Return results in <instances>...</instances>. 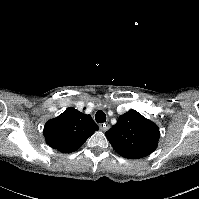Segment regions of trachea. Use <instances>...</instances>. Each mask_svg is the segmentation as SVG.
Masks as SVG:
<instances>
[{
    "label": "trachea",
    "mask_w": 199,
    "mask_h": 199,
    "mask_svg": "<svg viewBox=\"0 0 199 199\" xmlns=\"http://www.w3.org/2000/svg\"><path fill=\"white\" fill-rule=\"evenodd\" d=\"M95 120L98 123H104L106 121V114L101 110L97 111L95 115Z\"/></svg>",
    "instance_id": "1"
}]
</instances>
